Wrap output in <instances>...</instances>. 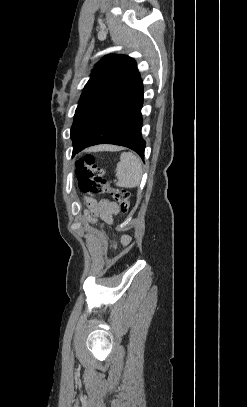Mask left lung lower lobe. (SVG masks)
<instances>
[{
  "label": "left lung lower lobe",
  "instance_id": "1",
  "mask_svg": "<svg viewBox=\"0 0 247 407\" xmlns=\"http://www.w3.org/2000/svg\"><path fill=\"white\" fill-rule=\"evenodd\" d=\"M142 105L143 85L139 77L104 109L76 146L73 156L86 147L108 143L128 147L144 159Z\"/></svg>",
  "mask_w": 247,
  "mask_h": 407
}]
</instances>
